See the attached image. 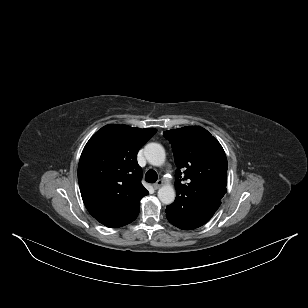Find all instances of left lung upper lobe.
<instances>
[{"label":"left lung upper lobe","mask_w":308,"mask_h":308,"mask_svg":"<svg viewBox=\"0 0 308 308\" xmlns=\"http://www.w3.org/2000/svg\"><path fill=\"white\" fill-rule=\"evenodd\" d=\"M172 144L176 199L166 208L189 214L221 201L227 192V158L220 143L204 128L186 126L165 131Z\"/></svg>","instance_id":"1"}]
</instances>
